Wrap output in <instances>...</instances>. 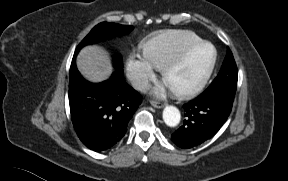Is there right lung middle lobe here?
<instances>
[{"mask_svg": "<svg viewBox=\"0 0 288 181\" xmlns=\"http://www.w3.org/2000/svg\"><path fill=\"white\" fill-rule=\"evenodd\" d=\"M132 30L133 26H126L108 22H103L96 25L76 48L73 60H75L77 53L82 47L96 43L106 37H111L115 35L121 36L127 34ZM115 67L119 73H123V65L120 57H117Z\"/></svg>", "mask_w": 288, "mask_h": 181, "instance_id": "right-lung-middle-lobe-1", "label": "right lung middle lobe"}]
</instances>
